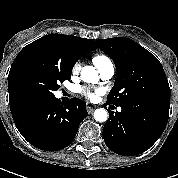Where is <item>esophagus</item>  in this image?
Listing matches in <instances>:
<instances>
[{
  "label": "esophagus",
  "instance_id": "34e87169",
  "mask_svg": "<svg viewBox=\"0 0 178 178\" xmlns=\"http://www.w3.org/2000/svg\"><path fill=\"white\" fill-rule=\"evenodd\" d=\"M94 108H96L95 105H93L92 103H87V111H88V113H92Z\"/></svg>",
  "mask_w": 178,
  "mask_h": 178
}]
</instances>
